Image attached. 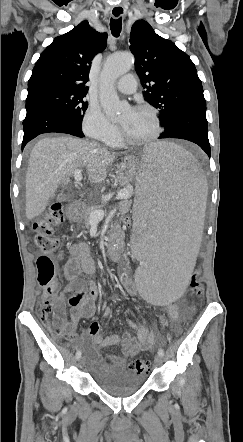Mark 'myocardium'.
<instances>
[{"label":"myocardium","instance_id":"obj_1","mask_svg":"<svg viewBox=\"0 0 243 442\" xmlns=\"http://www.w3.org/2000/svg\"><path fill=\"white\" fill-rule=\"evenodd\" d=\"M133 110L149 111L155 120V131L151 136H149L147 138H144L141 140H132L125 135L123 129L120 127L119 128L120 141L126 145H129V146H144V145L152 143L153 141L158 139V137L161 135V132H162V123H161V118H160V115H159L157 109L151 105H148V104H140V105L135 106L133 108Z\"/></svg>","mask_w":243,"mask_h":442}]
</instances>
